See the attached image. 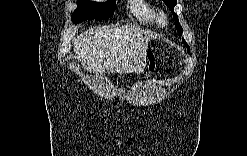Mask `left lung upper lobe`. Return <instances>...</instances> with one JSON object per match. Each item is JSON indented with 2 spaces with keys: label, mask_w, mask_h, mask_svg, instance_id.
<instances>
[{
  "label": "left lung upper lobe",
  "mask_w": 247,
  "mask_h": 156,
  "mask_svg": "<svg viewBox=\"0 0 247 156\" xmlns=\"http://www.w3.org/2000/svg\"><path fill=\"white\" fill-rule=\"evenodd\" d=\"M165 4L169 7V9L171 10V12L173 13V16L175 18V22H176V27H177V31L179 32V34H182L183 29L178 21V16L176 15V13H174V6L176 5L177 1L176 0H164ZM183 43L186 45L187 47V52H190V47L186 44L185 40L182 38Z\"/></svg>",
  "instance_id": "left-lung-upper-lobe-1"
}]
</instances>
